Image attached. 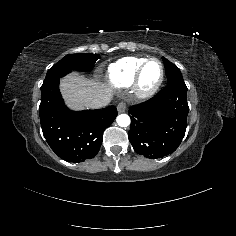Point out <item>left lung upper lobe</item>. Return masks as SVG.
I'll return each mask as SVG.
<instances>
[{
	"instance_id": "5c2ea615",
	"label": "left lung upper lobe",
	"mask_w": 236,
	"mask_h": 236,
	"mask_svg": "<svg viewBox=\"0 0 236 236\" xmlns=\"http://www.w3.org/2000/svg\"><path fill=\"white\" fill-rule=\"evenodd\" d=\"M162 60L164 62L168 83L183 82L184 80L178 67L164 57Z\"/></svg>"
}]
</instances>
